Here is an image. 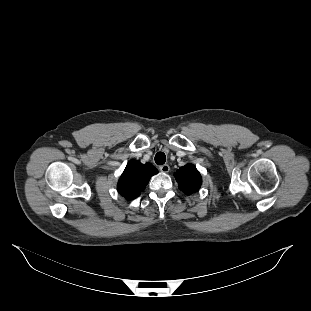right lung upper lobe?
<instances>
[{"label":"right lung upper lobe","mask_w":311,"mask_h":311,"mask_svg":"<svg viewBox=\"0 0 311 311\" xmlns=\"http://www.w3.org/2000/svg\"><path fill=\"white\" fill-rule=\"evenodd\" d=\"M157 173L158 170L152 164L132 160L120 177L118 191L127 200L135 199L145 189L150 178Z\"/></svg>","instance_id":"obj_1"}]
</instances>
